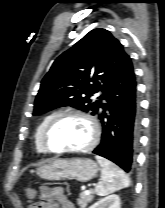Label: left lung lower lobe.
<instances>
[{"label": "left lung lower lobe", "mask_w": 165, "mask_h": 208, "mask_svg": "<svg viewBox=\"0 0 165 208\" xmlns=\"http://www.w3.org/2000/svg\"><path fill=\"white\" fill-rule=\"evenodd\" d=\"M103 99L105 104H100L97 113L103 128L101 143L93 153L131 172L139 138L140 108L129 56L105 89Z\"/></svg>", "instance_id": "0a47b994"}]
</instances>
